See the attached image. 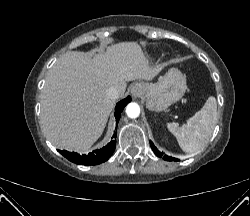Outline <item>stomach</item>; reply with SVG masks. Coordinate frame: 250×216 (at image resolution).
<instances>
[{"instance_id":"obj_1","label":"stomach","mask_w":250,"mask_h":216,"mask_svg":"<svg viewBox=\"0 0 250 216\" xmlns=\"http://www.w3.org/2000/svg\"><path fill=\"white\" fill-rule=\"evenodd\" d=\"M143 91L140 94L146 107L151 111L160 112L179 101L186 89V78L176 68H171L160 77L157 83H141Z\"/></svg>"}]
</instances>
